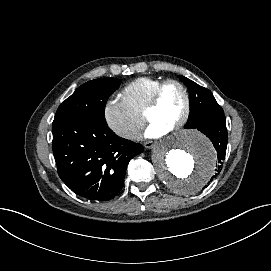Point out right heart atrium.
I'll use <instances>...</instances> for the list:
<instances>
[{"label":"right heart atrium","mask_w":271,"mask_h":271,"mask_svg":"<svg viewBox=\"0 0 271 271\" xmlns=\"http://www.w3.org/2000/svg\"><path fill=\"white\" fill-rule=\"evenodd\" d=\"M102 113L107 126L127 141H133L145 125L144 117L133 112L125 99L119 96L108 97L103 103Z\"/></svg>","instance_id":"d8ad5b80"}]
</instances>
